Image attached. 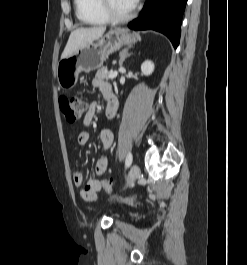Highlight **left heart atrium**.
<instances>
[{
    "label": "left heart atrium",
    "mask_w": 247,
    "mask_h": 265,
    "mask_svg": "<svg viewBox=\"0 0 247 265\" xmlns=\"http://www.w3.org/2000/svg\"><path fill=\"white\" fill-rule=\"evenodd\" d=\"M126 1L133 7L138 0H126Z\"/></svg>",
    "instance_id": "39dd6f15"
}]
</instances>
